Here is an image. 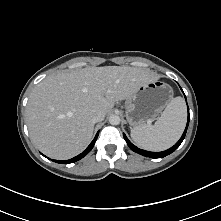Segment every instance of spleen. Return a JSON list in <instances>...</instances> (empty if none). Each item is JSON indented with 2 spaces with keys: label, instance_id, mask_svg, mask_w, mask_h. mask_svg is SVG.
Returning <instances> with one entry per match:
<instances>
[{
  "label": "spleen",
  "instance_id": "3e777b00",
  "mask_svg": "<svg viewBox=\"0 0 221 221\" xmlns=\"http://www.w3.org/2000/svg\"><path fill=\"white\" fill-rule=\"evenodd\" d=\"M187 110L181 97L172 99L154 125L131 129V138L142 149L163 151L180 138L185 128Z\"/></svg>",
  "mask_w": 221,
  "mask_h": 221
}]
</instances>
